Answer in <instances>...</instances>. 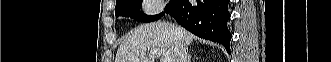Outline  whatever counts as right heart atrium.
<instances>
[{"instance_id": "right-heart-atrium-1", "label": "right heart atrium", "mask_w": 331, "mask_h": 62, "mask_svg": "<svg viewBox=\"0 0 331 62\" xmlns=\"http://www.w3.org/2000/svg\"><path fill=\"white\" fill-rule=\"evenodd\" d=\"M165 7L164 1L147 0L144 1V8L147 14H157Z\"/></svg>"}]
</instances>
